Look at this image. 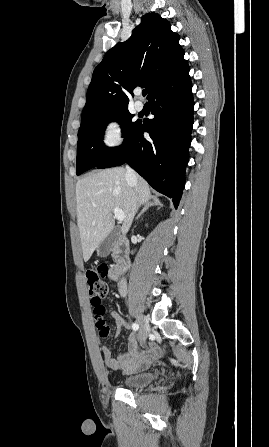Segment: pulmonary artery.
<instances>
[{
	"label": "pulmonary artery",
	"mask_w": 269,
	"mask_h": 447,
	"mask_svg": "<svg viewBox=\"0 0 269 447\" xmlns=\"http://www.w3.org/2000/svg\"><path fill=\"white\" fill-rule=\"evenodd\" d=\"M143 107H144V103H143V101L142 100H137L136 101V108H137V110H142L143 109Z\"/></svg>",
	"instance_id": "1"
}]
</instances>
